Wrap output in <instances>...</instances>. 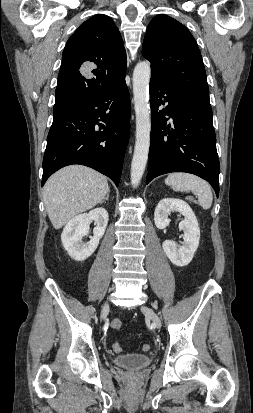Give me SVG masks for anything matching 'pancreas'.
<instances>
[{"mask_svg":"<svg viewBox=\"0 0 253 413\" xmlns=\"http://www.w3.org/2000/svg\"><path fill=\"white\" fill-rule=\"evenodd\" d=\"M190 201L196 203V201L193 198H188Z\"/></svg>","mask_w":253,"mask_h":413,"instance_id":"obj_1","label":"pancreas"}]
</instances>
